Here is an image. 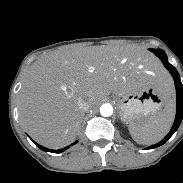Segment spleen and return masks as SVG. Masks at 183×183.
Returning a JSON list of instances; mask_svg holds the SVG:
<instances>
[{"instance_id": "obj_1", "label": "spleen", "mask_w": 183, "mask_h": 183, "mask_svg": "<svg viewBox=\"0 0 183 183\" xmlns=\"http://www.w3.org/2000/svg\"><path fill=\"white\" fill-rule=\"evenodd\" d=\"M174 115V102L168 101L163 110L151 114L142 121L129 124L130 134L139 144L157 143L169 132L174 121Z\"/></svg>"}]
</instances>
